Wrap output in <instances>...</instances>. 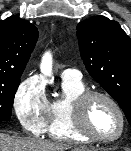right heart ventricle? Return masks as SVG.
<instances>
[{
    "instance_id": "e07e8e85",
    "label": "right heart ventricle",
    "mask_w": 131,
    "mask_h": 151,
    "mask_svg": "<svg viewBox=\"0 0 131 151\" xmlns=\"http://www.w3.org/2000/svg\"><path fill=\"white\" fill-rule=\"evenodd\" d=\"M64 97L49 103V114L45 132L54 140L65 142H87L88 139L77 132L73 124L72 103L86 87L81 80H62Z\"/></svg>"
}]
</instances>
